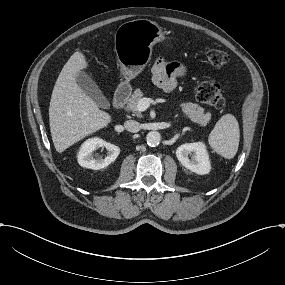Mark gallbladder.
<instances>
[{"label":"gallbladder","mask_w":285,"mask_h":285,"mask_svg":"<svg viewBox=\"0 0 285 285\" xmlns=\"http://www.w3.org/2000/svg\"><path fill=\"white\" fill-rule=\"evenodd\" d=\"M77 83L84 89L86 94L102 109H109L110 103L103 95L98 85L85 72H80Z\"/></svg>","instance_id":"gallbladder-1"}]
</instances>
